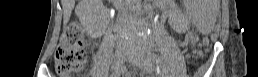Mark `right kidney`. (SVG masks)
I'll return each instance as SVG.
<instances>
[{
  "instance_id": "ca27d5eb",
  "label": "right kidney",
  "mask_w": 258,
  "mask_h": 77,
  "mask_svg": "<svg viewBox=\"0 0 258 77\" xmlns=\"http://www.w3.org/2000/svg\"><path fill=\"white\" fill-rule=\"evenodd\" d=\"M83 8H84V10H91V9L97 8V10L93 14L94 19L100 18L102 15H104L106 13L105 8L100 6V4L97 2L90 4V5L86 4V6H83Z\"/></svg>"
}]
</instances>
